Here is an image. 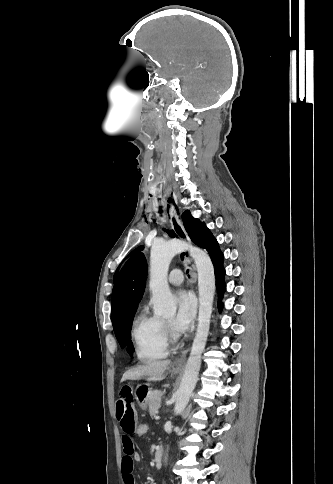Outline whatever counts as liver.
<instances>
[{"label": "liver", "mask_w": 333, "mask_h": 484, "mask_svg": "<svg viewBox=\"0 0 333 484\" xmlns=\"http://www.w3.org/2000/svg\"><path fill=\"white\" fill-rule=\"evenodd\" d=\"M170 364V360L148 362L145 365H140L126 371L121 381L136 380L141 377H148L149 380L153 381H161L164 379V373Z\"/></svg>", "instance_id": "6515ba94"}]
</instances>
